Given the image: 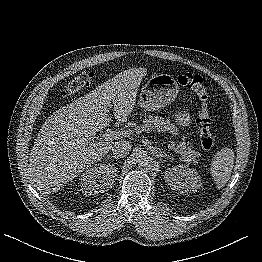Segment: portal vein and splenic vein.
Masks as SVG:
<instances>
[{
  "instance_id": "18ae733b",
  "label": "portal vein and splenic vein",
  "mask_w": 262,
  "mask_h": 262,
  "mask_svg": "<svg viewBox=\"0 0 262 262\" xmlns=\"http://www.w3.org/2000/svg\"><path fill=\"white\" fill-rule=\"evenodd\" d=\"M127 134H130V131L128 130H122V131H110V132H106V133H103L101 135V137L106 140V141H111L113 139H117V138H120V137H124L126 136ZM176 150V149H174ZM178 153H180L182 155V157L185 158V161H189L188 158L185 157V154L183 151H180V150H177Z\"/></svg>"
}]
</instances>
